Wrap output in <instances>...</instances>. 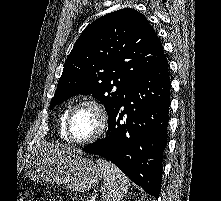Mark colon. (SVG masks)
Returning <instances> with one entry per match:
<instances>
[{
  "label": "colon",
  "mask_w": 221,
  "mask_h": 201,
  "mask_svg": "<svg viewBox=\"0 0 221 201\" xmlns=\"http://www.w3.org/2000/svg\"><path fill=\"white\" fill-rule=\"evenodd\" d=\"M21 201H30V199L28 197H24L21 199Z\"/></svg>",
  "instance_id": "1"
}]
</instances>
